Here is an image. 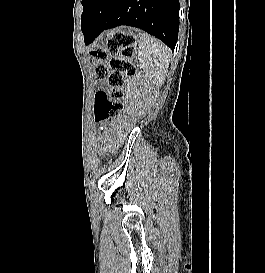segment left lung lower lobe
Segmentation results:
<instances>
[{
    "label": "left lung lower lobe",
    "instance_id": "left-lung-lower-lobe-1",
    "mask_svg": "<svg viewBox=\"0 0 265 273\" xmlns=\"http://www.w3.org/2000/svg\"><path fill=\"white\" fill-rule=\"evenodd\" d=\"M120 25L140 28L173 51L178 39L179 0H88L81 24L86 44L103 30Z\"/></svg>",
    "mask_w": 265,
    "mask_h": 273
}]
</instances>
